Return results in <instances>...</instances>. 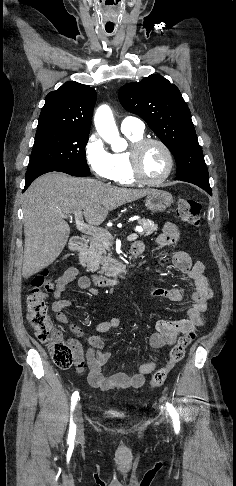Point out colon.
<instances>
[{
  "instance_id": "1",
  "label": "colon",
  "mask_w": 236,
  "mask_h": 486,
  "mask_svg": "<svg viewBox=\"0 0 236 486\" xmlns=\"http://www.w3.org/2000/svg\"><path fill=\"white\" fill-rule=\"evenodd\" d=\"M201 206L197 201L191 199H180L176 208L177 217L184 223L198 227ZM53 285L47 270L36 275L31 281V291L27 296V322L34 331L37 338L48 347L53 362L60 368L66 369L74 363L73 349L66 342L61 331L54 328L49 314L46 296L52 291ZM195 337V333L183 334L176 344L171 348L169 359L166 364L158 369L152 376L151 387H159L166 380L170 371L180 362Z\"/></svg>"
}]
</instances>
